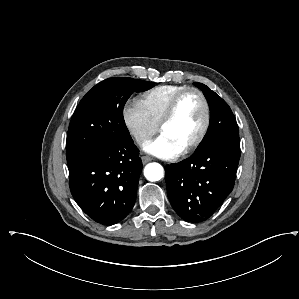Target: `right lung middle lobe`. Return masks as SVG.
Masks as SVG:
<instances>
[{"mask_svg": "<svg viewBox=\"0 0 299 299\" xmlns=\"http://www.w3.org/2000/svg\"><path fill=\"white\" fill-rule=\"evenodd\" d=\"M152 82L126 77L108 78L94 86L81 100L67 134L69 167L91 153L131 139L123 108L133 92L146 91Z\"/></svg>", "mask_w": 299, "mask_h": 299, "instance_id": "obj_1", "label": "right lung middle lobe"}]
</instances>
